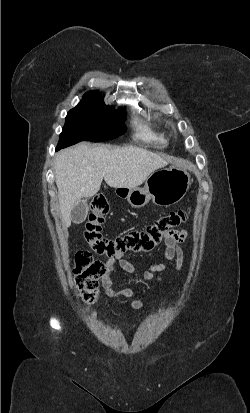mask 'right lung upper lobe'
<instances>
[{
  "instance_id": "obj_1",
  "label": "right lung upper lobe",
  "mask_w": 250,
  "mask_h": 413,
  "mask_svg": "<svg viewBox=\"0 0 250 413\" xmlns=\"http://www.w3.org/2000/svg\"><path fill=\"white\" fill-rule=\"evenodd\" d=\"M86 94H99L98 92H96V91H90V92H88V93H86ZM100 95V94H99Z\"/></svg>"
}]
</instances>
